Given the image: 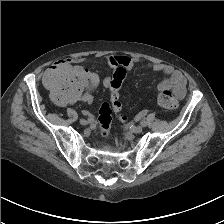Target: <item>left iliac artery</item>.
Listing matches in <instances>:
<instances>
[{"label":"left iliac artery","mask_w":224,"mask_h":224,"mask_svg":"<svg viewBox=\"0 0 224 224\" xmlns=\"http://www.w3.org/2000/svg\"><path fill=\"white\" fill-rule=\"evenodd\" d=\"M140 124H141V126H143V127H145V126L147 125L146 121H144V120L141 121Z\"/></svg>","instance_id":"obj_1"}]
</instances>
